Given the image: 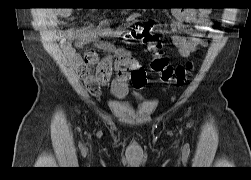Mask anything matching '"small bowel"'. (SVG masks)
<instances>
[{"label":"small bowel","instance_id":"1","mask_svg":"<svg viewBox=\"0 0 251 180\" xmlns=\"http://www.w3.org/2000/svg\"><path fill=\"white\" fill-rule=\"evenodd\" d=\"M70 13L68 8L48 11L49 25L55 27L59 18L68 17ZM209 14L210 11L205 8L173 10L174 21L170 24V32L172 42L181 57H189L205 44L200 32L208 30ZM138 17V13L130 14L125 25L133 23ZM186 24H193L194 27L189 28ZM123 32L124 26L111 28L106 22H101L98 27L85 26L60 31V43L66 54L78 64V72L90 93L98 95L101 87L110 84L113 96L121 99L128 93L130 84L137 89L146 85L144 69L126 49L117 47L111 41L120 37ZM181 33H186L187 36H182ZM87 44L95 45L108 56L99 58L95 51H88L80 58L76 48Z\"/></svg>","mask_w":251,"mask_h":180}]
</instances>
